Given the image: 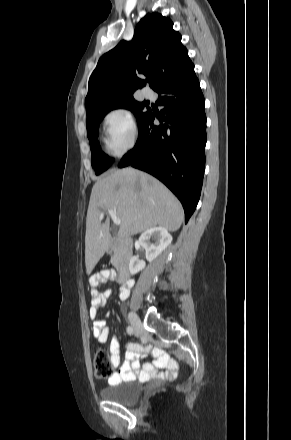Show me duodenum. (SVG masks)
<instances>
[{"instance_id":"1","label":"duodenum","mask_w":291,"mask_h":440,"mask_svg":"<svg viewBox=\"0 0 291 440\" xmlns=\"http://www.w3.org/2000/svg\"><path fill=\"white\" fill-rule=\"evenodd\" d=\"M116 240L121 245V250L117 258V270L125 283H129L131 275V266L133 258L134 243L127 237H113L110 235L109 240Z\"/></svg>"}]
</instances>
